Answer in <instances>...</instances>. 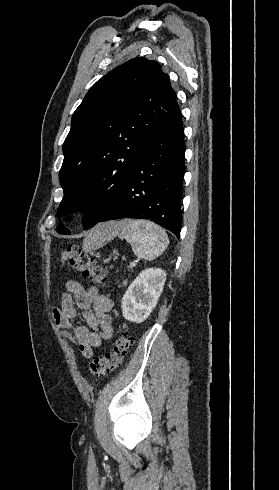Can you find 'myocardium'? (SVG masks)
I'll return each mask as SVG.
<instances>
[{"label": "myocardium", "instance_id": "1", "mask_svg": "<svg viewBox=\"0 0 279 490\" xmlns=\"http://www.w3.org/2000/svg\"><path fill=\"white\" fill-rule=\"evenodd\" d=\"M100 200H101V196L99 195L91 196V198H89V200L87 201V205L97 204Z\"/></svg>", "mask_w": 279, "mask_h": 490}]
</instances>
